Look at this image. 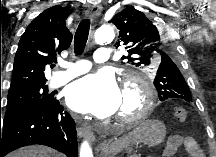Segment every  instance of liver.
<instances>
[{"instance_id":"liver-1","label":"liver","mask_w":216,"mask_h":157,"mask_svg":"<svg viewBox=\"0 0 216 157\" xmlns=\"http://www.w3.org/2000/svg\"><path fill=\"white\" fill-rule=\"evenodd\" d=\"M8 157H62V154L49 147L32 145L14 151Z\"/></svg>"}]
</instances>
